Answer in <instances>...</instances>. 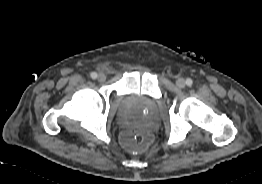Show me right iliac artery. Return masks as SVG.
<instances>
[{"mask_svg":"<svg viewBox=\"0 0 262 184\" xmlns=\"http://www.w3.org/2000/svg\"><path fill=\"white\" fill-rule=\"evenodd\" d=\"M90 76H91L92 79H96L98 75H97L96 72H92V73L90 74Z\"/></svg>","mask_w":262,"mask_h":184,"instance_id":"obj_1","label":"right iliac artery"}]
</instances>
